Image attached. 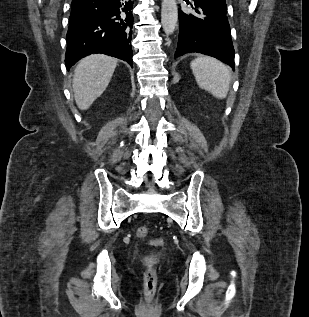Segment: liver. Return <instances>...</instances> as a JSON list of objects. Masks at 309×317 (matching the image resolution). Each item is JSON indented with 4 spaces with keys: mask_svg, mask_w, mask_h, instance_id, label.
<instances>
[{
    "mask_svg": "<svg viewBox=\"0 0 309 317\" xmlns=\"http://www.w3.org/2000/svg\"><path fill=\"white\" fill-rule=\"evenodd\" d=\"M117 59L106 55H90L82 59L74 70L73 90L79 109L87 110L107 88Z\"/></svg>",
    "mask_w": 309,
    "mask_h": 317,
    "instance_id": "liver-1",
    "label": "liver"
}]
</instances>
